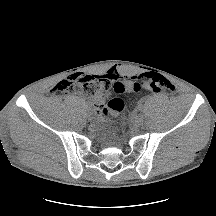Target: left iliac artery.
I'll return each mask as SVG.
<instances>
[{
	"label": "left iliac artery",
	"instance_id": "left-iliac-artery-1",
	"mask_svg": "<svg viewBox=\"0 0 216 216\" xmlns=\"http://www.w3.org/2000/svg\"><path fill=\"white\" fill-rule=\"evenodd\" d=\"M137 109L142 110V104L138 105Z\"/></svg>",
	"mask_w": 216,
	"mask_h": 216
}]
</instances>
